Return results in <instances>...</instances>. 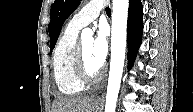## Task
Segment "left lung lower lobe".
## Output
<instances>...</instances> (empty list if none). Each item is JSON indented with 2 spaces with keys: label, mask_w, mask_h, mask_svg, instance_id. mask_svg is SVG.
Segmentation results:
<instances>
[{
  "label": "left lung lower lobe",
  "mask_w": 193,
  "mask_h": 112,
  "mask_svg": "<svg viewBox=\"0 0 193 112\" xmlns=\"http://www.w3.org/2000/svg\"><path fill=\"white\" fill-rule=\"evenodd\" d=\"M143 7L140 0H129L128 10V69L133 65L143 32Z\"/></svg>",
  "instance_id": "1"
}]
</instances>
